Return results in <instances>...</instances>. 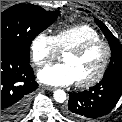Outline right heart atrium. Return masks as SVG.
I'll return each instance as SVG.
<instances>
[{
    "instance_id": "1",
    "label": "right heart atrium",
    "mask_w": 122,
    "mask_h": 122,
    "mask_svg": "<svg viewBox=\"0 0 122 122\" xmlns=\"http://www.w3.org/2000/svg\"><path fill=\"white\" fill-rule=\"evenodd\" d=\"M30 53L33 63L38 67L54 60L59 53L54 36L46 32L38 33L31 42Z\"/></svg>"
}]
</instances>
